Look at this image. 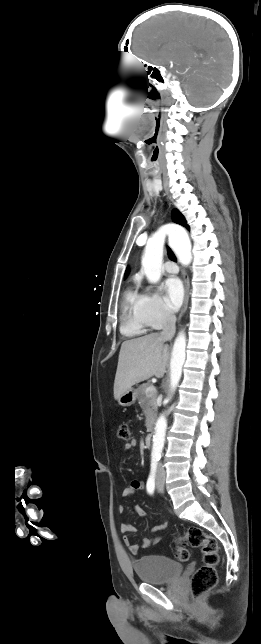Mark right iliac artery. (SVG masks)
Instances as JSON below:
<instances>
[{
  "label": "right iliac artery",
  "mask_w": 261,
  "mask_h": 644,
  "mask_svg": "<svg viewBox=\"0 0 261 644\" xmlns=\"http://www.w3.org/2000/svg\"><path fill=\"white\" fill-rule=\"evenodd\" d=\"M157 461L158 460L155 459L151 461V472L146 484L147 492L149 494H153L155 490V473L157 468Z\"/></svg>",
  "instance_id": "1"
}]
</instances>
